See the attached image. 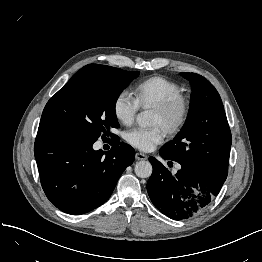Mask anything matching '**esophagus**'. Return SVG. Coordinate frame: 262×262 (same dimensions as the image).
Wrapping results in <instances>:
<instances>
[{"mask_svg":"<svg viewBox=\"0 0 262 262\" xmlns=\"http://www.w3.org/2000/svg\"><path fill=\"white\" fill-rule=\"evenodd\" d=\"M135 159L138 160V161L147 160V155H145L144 153L137 152L135 154Z\"/></svg>","mask_w":262,"mask_h":262,"instance_id":"obj_1","label":"esophagus"}]
</instances>
